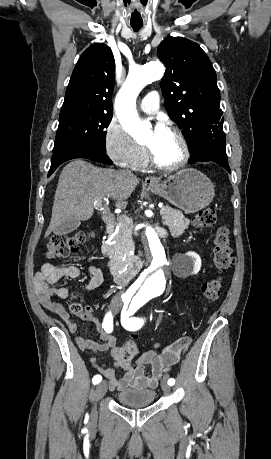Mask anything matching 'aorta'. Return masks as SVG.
<instances>
[{
  "instance_id": "aorta-1",
  "label": "aorta",
  "mask_w": 271,
  "mask_h": 459,
  "mask_svg": "<svg viewBox=\"0 0 271 459\" xmlns=\"http://www.w3.org/2000/svg\"><path fill=\"white\" fill-rule=\"evenodd\" d=\"M164 70L159 62H150L140 68L132 69L117 94L115 109L118 119L124 130L136 140L145 138L149 129V126L138 116L136 98L147 84L160 80ZM138 203L139 210L146 204L143 200ZM145 214L151 216L152 213L145 211ZM141 227L145 228L141 239L145 250L146 267L132 288L143 291L150 297H157L166 288L169 261L165 247L151 224L145 222Z\"/></svg>"
}]
</instances>
